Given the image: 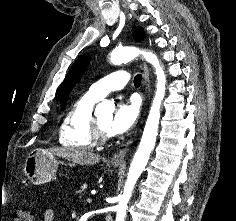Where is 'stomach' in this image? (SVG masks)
Instances as JSON below:
<instances>
[{
  "label": "stomach",
  "instance_id": "stomach-1",
  "mask_svg": "<svg viewBox=\"0 0 236 221\" xmlns=\"http://www.w3.org/2000/svg\"><path fill=\"white\" fill-rule=\"evenodd\" d=\"M59 161L53 154L42 149H36L28 154L24 164L25 176L36 185L49 182L56 174ZM118 167V163H113Z\"/></svg>",
  "mask_w": 236,
  "mask_h": 221
}]
</instances>
